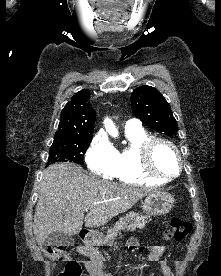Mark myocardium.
Here are the masks:
<instances>
[{
    "instance_id": "obj_1",
    "label": "myocardium",
    "mask_w": 221,
    "mask_h": 276,
    "mask_svg": "<svg viewBox=\"0 0 221 276\" xmlns=\"http://www.w3.org/2000/svg\"><path fill=\"white\" fill-rule=\"evenodd\" d=\"M158 144L168 145L175 153L178 162V170L175 174L164 175L156 170L153 163V152ZM139 159L143 173L158 181H170L177 178L181 174L183 168L182 156L178 147L171 140L162 137H151L145 140L139 148Z\"/></svg>"
}]
</instances>
